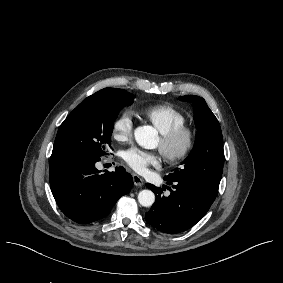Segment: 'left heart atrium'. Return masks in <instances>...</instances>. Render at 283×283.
Returning <instances> with one entry per match:
<instances>
[{
    "label": "left heart atrium",
    "instance_id": "39dd6f15",
    "mask_svg": "<svg viewBox=\"0 0 283 283\" xmlns=\"http://www.w3.org/2000/svg\"><path fill=\"white\" fill-rule=\"evenodd\" d=\"M124 161L135 171L141 172L149 165L158 162L157 155L138 148H129L123 152Z\"/></svg>",
    "mask_w": 283,
    "mask_h": 283
}]
</instances>
